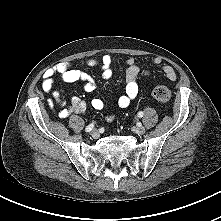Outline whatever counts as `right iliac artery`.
Masks as SVG:
<instances>
[{
	"mask_svg": "<svg viewBox=\"0 0 221 221\" xmlns=\"http://www.w3.org/2000/svg\"><path fill=\"white\" fill-rule=\"evenodd\" d=\"M93 127H94V124L91 123V124H89V125L85 128V131H86V132H90V131L93 129Z\"/></svg>",
	"mask_w": 221,
	"mask_h": 221,
	"instance_id": "82829eb1",
	"label": "right iliac artery"
}]
</instances>
